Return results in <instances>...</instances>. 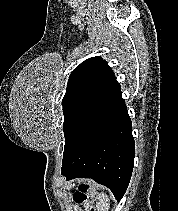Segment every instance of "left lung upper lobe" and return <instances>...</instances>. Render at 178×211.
I'll return each mask as SVG.
<instances>
[{
    "label": "left lung upper lobe",
    "instance_id": "left-lung-upper-lobe-1",
    "mask_svg": "<svg viewBox=\"0 0 178 211\" xmlns=\"http://www.w3.org/2000/svg\"><path fill=\"white\" fill-rule=\"evenodd\" d=\"M118 86L113 71L101 57L89 58L72 71L62 100L63 161L95 125Z\"/></svg>",
    "mask_w": 178,
    "mask_h": 211
}]
</instances>
